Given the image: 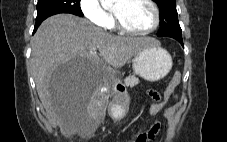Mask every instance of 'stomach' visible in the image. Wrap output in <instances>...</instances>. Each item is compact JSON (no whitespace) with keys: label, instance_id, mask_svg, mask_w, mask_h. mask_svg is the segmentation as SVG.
I'll list each match as a JSON object with an SVG mask.
<instances>
[{"label":"stomach","instance_id":"1","mask_svg":"<svg viewBox=\"0 0 227 142\" xmlns=\"http://www.w3.org/2000/svg\"><path fill=\"white\" fill-rule=\"evenodd\" d=\"M134 74L149 82L164 78L172 68V58L159 44H150L136 53L132 59ZM128 111V97L121 95L119 102L110 108L114 119L123 118Z\"/></svg>","mask_w":227,"mask_h":142}]
</instances>
